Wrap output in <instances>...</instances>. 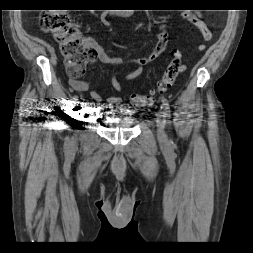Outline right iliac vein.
Listing matches in <instances>:
<instances>
[{
	"instance_id": "1",
	"label": "right iliac vein",
	"mask_w": 253,
	"mask_h": 253,
	"mask_svg": "<svg viewBox=\"0 0 253 253\" xmlns=\"http://www.w3.org/2000/svg\"><path fill=\"white\" fill-rule=\"evenodd\" d=\"M79 110H80V104H77L75 109L72 111L71 125H70V129L72 130V132H75V127L78 126Z\"/></svg>"
}]
</instances>
